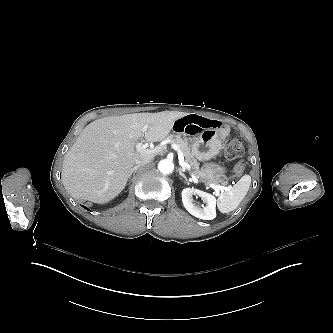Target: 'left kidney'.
<instances>
[{
    "label": "left kidney",
    "instance_id": "1",
    "mask_svg": "<svg viewBox=\"0 0 333 333\" xmlns=\"http://www.w3.org/2000/svg\"><path fill=\"white\" fill-rule=\"evenodd\" d=\"M197 195L204 202L202 208L196 206L193 202L192 196ZM182 201L185 209L193 216L202 220H211L216 217L215 203L216 199L214 196L192 188H185L182 191Z\"/></svg>",
    "mask_w": 333,
    "mask_h": 333
}]
</instances>
